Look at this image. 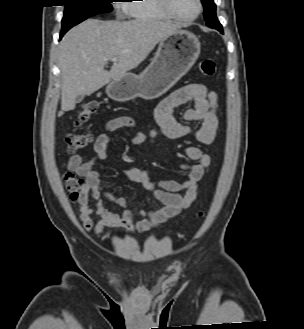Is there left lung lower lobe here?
Returning a JSON list of instances; mask_svg holds the SVG:
<instances>
[{"mask_svg":"<svg viewBox=\"0 0 304 329\" xmlns=\"http://www.w3.org/2000/svg\"><path fill=\"white\" fill-rule=\"evenodd\" d=\"M207 26L210 27V28L217 29L218 31H220L221 33H223L222 25L218 21L216 15H214L212 17L211 22H208L207 23Z\"/></svg>","mask_w":304,"mask_h":329,"instance_id":"0a47b994","label":"left lung lower lobe"}]
</instances>
